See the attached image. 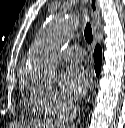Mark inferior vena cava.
<instances>
[{
    "instance_id": "1",
    "label": "inferior vena cava",
    "mask_w": 125,
    "mask_h": 128,
    "mask_svg": "<svg viewBox=\"0 0 125 128\" xmlns=\"http://www.w3.org/2000/svg\"><path fill=\"white\" fill-rule=\"evenodd\" d=\"M63 115L60 117L59 125L65 127L66 124L73 121L77 115V106L73 102H66L63 105Z\"/></svg>"
}]
</instances>
